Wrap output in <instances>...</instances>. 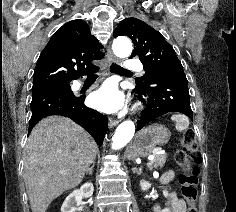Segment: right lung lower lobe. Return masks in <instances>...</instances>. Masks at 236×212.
Listing matches in <instances>:
<instances>
[{
	"label": "right lung lower lobe",
	"instance_id": "1",
	"mask_svg": "<svg viewBox=\"0 0 236 212\" xmlns=\"http://www.w3.org/2000/svg\"><path fill=\"white\" fill-rule=\"evenodd\" d=\"M95 67L91 72H97ZM85 96L76 97L65 92L60 86L40 84L32 87V116L29 121V133L33 127L44 117L61 115L71 118L81 125L102 145L108 129V119L103 114L84 105Z\"/></svg>",
	"mask_w": 236,
	"mask_h": 212
}]
</instances>
